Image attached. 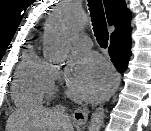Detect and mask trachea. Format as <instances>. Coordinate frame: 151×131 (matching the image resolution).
<instances>
[{
  "label": "trachea",
  "mask_w": 151,
  "mask_h": 131,
  "mask_svg": "<svg viewBox=\"0 0 151 131\" xmlns=\"http://www.w3.org/2000/svg\"><path fill=\"white\" fill-rule=\"evenodd\" d=\"M94 35L99 45L103 48L108 46L109 33L107 30V23L105 13L101 0H87Z\"/></svg>",
  "instance_id": "trachea-1"
}]
</instances>
